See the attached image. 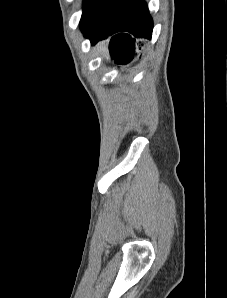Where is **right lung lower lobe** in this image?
<instances>
[{"label": "right lung lower lobe", "instance_id": "obj_1", "mask_svg": "<svg viewBox=\"0 0 227 298\" xmlns=\"http://www.w3.org/2000/svg\"><path fill=\"white\" fill-rule=\"evenodd\" d=\"M152 29L153 21L143 0H112L82 31L92 44L112 36L111 56L116 63L124 64L133 52V39H150Z\"/></svg>", "mask_w": 227, "mask_h": 298}]
</instances>
